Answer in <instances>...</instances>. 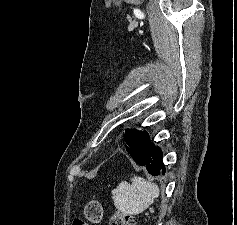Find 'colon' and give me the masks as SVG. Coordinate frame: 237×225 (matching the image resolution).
Masks as SVG:
<instances>
[{
    "mask_svg": "<svg viewBox=\"0 0 237 225\" xmlns=\"http://www.w3.org/2000/svg\"><path fill=\"white\" fill-rule=\"evenodd\" d=\"M103 207L98 201H90L85 206V219L76 218L72 225L98 224L102 220ZM109 225H136V219L132 215L116 213Z\"/></svg>",
    "mask_w": 237,
    "mask_h": 225,
    "instance_id": "1",
    "label": "colon"
}]
</instances>
